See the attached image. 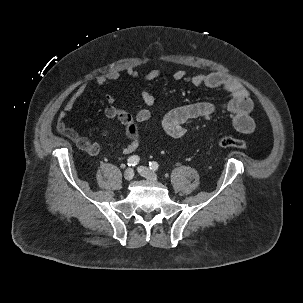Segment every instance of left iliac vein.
Listing matches in <instances>:
<instances>
[{"label":"left iliac vein","mask_w":303,"mask_h":303,"mask_svg":"<svg viewBox=\"0 0 303 303\" xmlns=\"http://www.w3.org/2000/svg\"><path fill=\"white\" fill-rule=\"evenodd\" d=\"M137 170L143 177L150 181L156 182L158 179L157 175L147 167L140 166L137 168Z\"/></svg>","instance_id":"4c4485c4"}]
</instances>
